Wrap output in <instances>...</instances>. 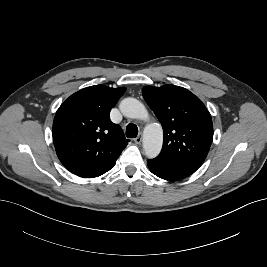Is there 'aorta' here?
<instances>
[{
	"label": "aorta",
	"mask_w": 267,
	"mask_h": 267,
	"mask_svg": "<svg viewBox=\"0 0 267 267\" xmlns=\"http://www.w3.org/2000/svg\"><path fill=\"white\" fill-rule=\"evenodd\" d=\"M121 113L128 118L146 119L148 113L145 106L135 98H125L119 105ZM163 144V130L159 123H149L144 129L143 148L148 158L159 155Z\"/></svg>",
	"instance_id": "1"
}]
</instances>
